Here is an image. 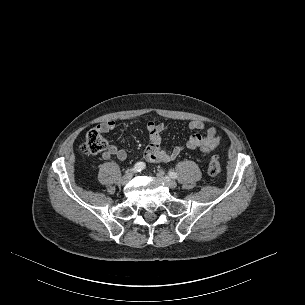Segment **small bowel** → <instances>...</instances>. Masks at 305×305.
Returning a JSON list of instances; mask_svg holds the SVG:
<instances>
[{
    "mask_svg": "<svg viewBox=\"0 0 305 305\" xmlns=\"http://www.w3.org/2000/svg\"><path fill=\"white\" fill-rule=\"evenodd\" d=\"M116 126L115 121L108 120L97 126L102 133L112 131ZM188 129L195 131L182 144L168 151L162 146V134L168 130V126L154 121L148 122L146 131L148 133L149 142L144 150V157L152 163H167L176 159L184 149L199 150L203 153H210L220 143L221 138L214 127H208L207 124L200 120L191 121ZM102 157L109 160L116 157L119 160H126L128 154L126 150L120 148L116 144H111L103 152Z\"/></svg>",
    "mask_w": 305,
    "mask_h": 305,
    "instance_id": "obj_1",
    "label": "small bowel"
}]
</instances>
